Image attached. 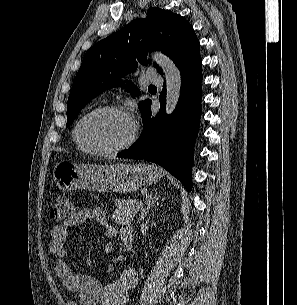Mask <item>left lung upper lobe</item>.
I'll list each match as a JSON object with an SVG mask.
<instances>
[{"label": "left lung upper lobe", "mask_w": 297, "mask_h": 305, "mask_svg": "<svg viewBox=\"0 0 297 305\" xmlns=\"http://www.w3.org/2000/svg\"><path fill=\"white\" fill-rule=\"evenodd\" d=\"M199 48L193 27L184 17L151 8L145 19L130 22L86 52L68 98L66 127L92 98L111 87L125 86L121 78L134 71L138 62L147 65L148 52L161 50L180 69L184 65L201 66ZM154 66L163 74L155 63ZM130 84L125 86L126 91L139 96V89ZM148 101L139 102L141 111Z\"/></svg>", "instance_id": "obj_1"}]
</instances>
